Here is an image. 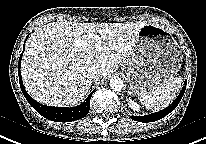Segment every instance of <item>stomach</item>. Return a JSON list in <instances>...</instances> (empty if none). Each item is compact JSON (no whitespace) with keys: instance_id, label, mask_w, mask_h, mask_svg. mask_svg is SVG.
<instances>
[{"instance_id":"1","label":"stomach","mask_w":206,"mask_h":144,"mask_svg":"<svg viewBox=\"0 0 206 144\" xmlns=\"http://www.w3.org/2000/svg\"><path fill=\"white\" fill-rule=\"evenodd\" d=\"M180 66L181 50L172 35L161 26L145 24L127 62L131 92L140 95L161 87Z\"/></svg>"}]
</instances>
